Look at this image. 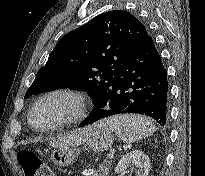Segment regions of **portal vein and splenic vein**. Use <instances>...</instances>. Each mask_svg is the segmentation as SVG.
I'll return each mask as SVG.
<instances>
[{
    "label": "portal vein and splenic vein",
    "mask_w": 205,
    "mask_h": 176,
    "mask_svg": "<svg viewBox=\"0 0 205 176\" xmlns=\"http://www.w3.org/2000/svg\"><path fill=\"white\" fill-rule=\"evenodd\" d=\"M114 156V150H111L110 153L108 154V158L112 159Z\"/></svg>",
    "instance_id": "obj_1"
}]
</instances>
